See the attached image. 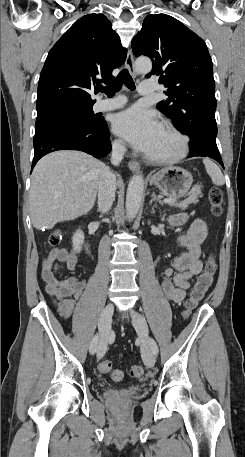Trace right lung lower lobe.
I'll list each match as a JSON object with an SVG mask.
<instances>
[{
    "label": "right lung lower lobe",
    "mask_w": 245,
    "mask_h": 457,
    "mask_svg": "<svg viewBox=\"0 0 245 457\" xmlns=\"http://www.w3.org/2000/svg\"><path fill=\"white\" fill-rule=\"evenodd\" d=\"M34 150L32 169L41 157L57 150H80L101 158L111 150L110 133L103 117L48 118L35 125Z\"/></svg>",
    "instance_id": "1"
}]
</instances>
